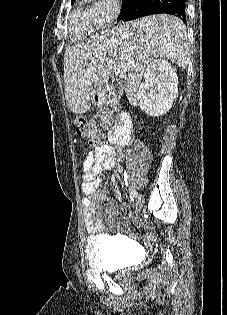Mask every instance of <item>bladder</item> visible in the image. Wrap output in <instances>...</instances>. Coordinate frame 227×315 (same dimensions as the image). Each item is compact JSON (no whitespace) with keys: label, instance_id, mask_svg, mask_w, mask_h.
I'll return each mask as SVG.
<instances>
[{"label":"bladder","instance_id":"bladder-1","mask_svg":"<svg viewBox=\"0 0 227 315\" xmlns=\"http://www.w3.org/2000/svg\"><path fill=\"white\" fill-rule=\"evenodd\" d=\"M132 242L118 236L96 235L86 244V263L100 270H118L130 267L129 249Z\"/></svg>","mask_w":227,"mask_h":315}]
</instances>
